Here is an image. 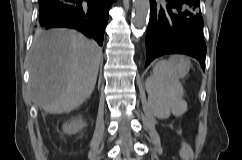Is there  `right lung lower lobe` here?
Returning a JSON list of instances; mask_svg holds the SVG:
<instances>
[{
    "mask_svg": "<svg viewBox=\"0 0 242 160\" xmlns=\"http://www.w3.org/2000/svg\"><path fill=\"white\" fill-rule=\"evenodd\" d=\"M114 0H40L39 23L45 29L67 27L103 44L108 12Z\"/></svg>",
    "mask_w": 242,
    "mask_h": 160,
    "instance_id": "obj_1",
    "label": "right lung lower lobe"
}]
</instances>
